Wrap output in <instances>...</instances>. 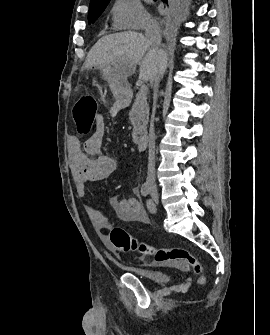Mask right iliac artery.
Wrapping results in <instances>:
<instances>
[{"label": "right iliac artery", "mask_w": 270, "mask_h": 335, "mask_svg": "<svg viewBox=\"0 0 270 335\" xmlns=\"http://www.w3.org/2000/svg\"><path fill=\"white\" fill-rule=\"evenodd\" d=\"M141 194L143 196H147L149 194V186L148 183H144L141 187Z\"/></svg>", "instance_id": "1"}]
</instances>
